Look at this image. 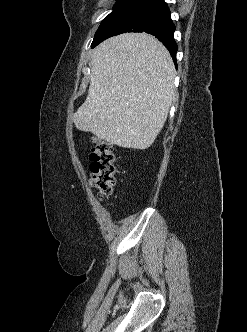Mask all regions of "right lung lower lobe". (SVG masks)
Here are the masks:
<instances>
[{"label":"right lung lower lobe","instance_id":"98d812e1","mask_svg":"<svg viewBox=\"0 0 247 332\" xmlns=\"http://www.w3.org/2000/svg\"><path fill=\"white\" fill-rule=\"evenodd\" d=\"M174 31L175 25L171 20L167 4L164 0H152L110 25L101 34L95 46L109 37L125 32H146L154 35L168 48L176 64L178 47L173 38Z\"/></svg>","mask_w":247,"mask_h":332}]
</instances>
